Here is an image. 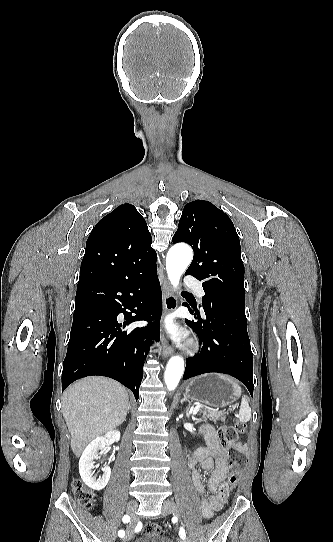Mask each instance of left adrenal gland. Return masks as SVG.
I'll return each instance as SVG.
<instances>
[{
  "label": "left adrenal gland",
  "mask_w": 333,
  "mask_h": 542,
  "mask_svg": "<svg viewBox=\"0 0 333 542\" xmlns=\"http://www.w3.org/2000/svg\"><path fill=\"white\" fill-rule=\"evenodd\" d=\"M184 398H182V400H180L181 404H183V402H188V406H187V410L185 412L186 416H188V412H189V408H190V400H187L186 398V394H183Z\"/></svg>",
  "instance_id": "obj_1"
}]
</instances>
